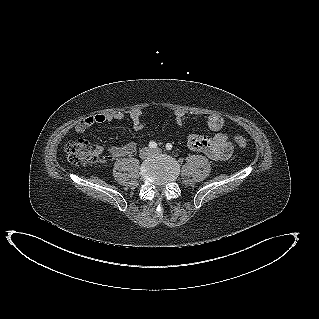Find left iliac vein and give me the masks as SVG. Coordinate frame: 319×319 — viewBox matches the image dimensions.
Listing matches in <instances>:
<instances>
[{
    "label": "left iliac vein",
    "mask_w": 319,
    "mask_h": 319,
    "mask_svg": "<svg viewBox=\"0 0 319 319\" xmlns=\"http://www.w3.org/2000/svg\"><path fill=\"white\" fill-rule=\"evenodd\" d=\"M161 152H162V149H160V148H156V149L151 151L152 154H158V153H161Z\"/></svg>",
    "instance_id": "obj_1"
}]
</instances>
